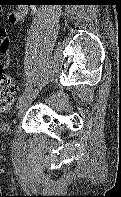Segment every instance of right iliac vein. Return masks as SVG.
Returning <instances> with one entry per match:
<instances>
[{
  "label": "right iliac vein",
  "mask_w": 121,
  "mask_h": 197,
  "mask_svg": "<svg viewBox=\"0 0 121 197\" xmlns=\"http://www.w3.org/2000/svg\"><path fill=\"white\" fill-rule=\"evenodd\" d=\"M39 93V88H36L33 93L29 94V96L20 104L19 110L17 113V117H20L23 115L25 110L28 108V106L32 103V101L36 98V96Z\"/></svg>",
  "instance_id": "obj_1"
}]
</instances>
